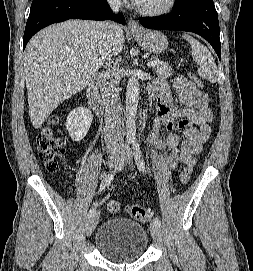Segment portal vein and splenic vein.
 <instances>
[{"mask_svg":"<svg viewBox=\"0 0 253 271\" xmlns=\"http://www.w3.org/2000/svg\"><path fill=\"white\" fill-rule=\"evenodd\" d=\"M158 64H160L159 61H150V62L147 63V66L148 67H153V66H156Z\"/></svg>","mask_w":253,"mask_h":271,"instance_id":"18ae733b","label":"portal vein and splenic vein"}]
</instances>
